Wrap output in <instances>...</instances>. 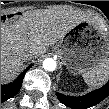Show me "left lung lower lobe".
Listing matches in <instances>:
<instances>
[{
  "label": "left lung lower lobe",
  "instance_id": "0a47b994",
  "mask_svg": "<svg viewBox=\"0 0 109 109\" xmlns=\"http://www.w3.org/2000/svg\"><path fill=\"white\" fill-rule=\"evenodd\" d=\"M59 101L73 109H87L95 106L109 95V81L101 88L94 90L84 96L72 97L61 93L56 94Z\"/></svg>",
  "mask_w": 109,
  "mask_h": 109
}]
</instances>
